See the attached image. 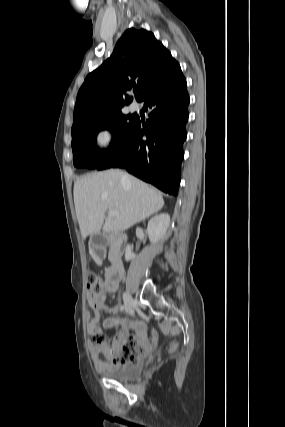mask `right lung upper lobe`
Returning <instances> with one entry per match:
<instances>
[{
    "instance_id": "right-lung-upper-lobe-1",
    "label": "right lung upper lobe",
    "mask_w": 285,
    "mask_h": 427,
    "mask_svg": "<svg viewBox=\"0 0 285 427\" xmlns=\"http://www.w3.org/2000/svg\"><path fill=\"white\" fill-rule=\"evenodd\" d=\"M179 67L170 52L151 32L130 28L117 42L114 51L81 86L74 108L72 130L120 111L132 97L125 92L137 88L136 100L155 82Z\"/></svg>"
}]
</instances>
